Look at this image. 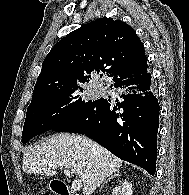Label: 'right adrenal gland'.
<instances>
[{
    "label": "right adrenal gland",
    "mask_w": 189,
    "mask_h": 195,
    "mask_svg": "<svg viewBox=\"0 0 189 195\" xmlns=\"http://www.w3.org/2000/svg\"><path fill=\"white\" fill-rule=\"evenodd\" d=\"M121 174L119 172H115L114 174L110 175L101 185L100 190L103 188L104 184L107 183L108 181H110V179H112L113 177H120Z\"/></svg>",
    "instance_id": "1"
}]
</instances>
